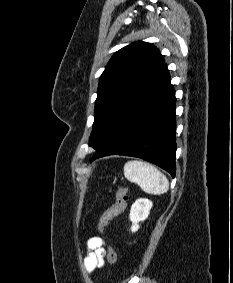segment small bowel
Returning a JSON list of instances; mask_svg holds the SVG:
<instances>
[{"mask_svg":"<svg viewBox=\"0 0 233 283\" xmlns=\"http://www.w3.org/2000/svg\"><path fill=\"white\" fill-rule=\"evenodd\" d=\"M87 255L84 258V267L88 273L104 266L106 251L104 241L98 236L90 238L87 242Z\"/></svg>","mask_w":233,"mask_h":283,"instance_id":"obj_1","label":"small bowel"}]
</instances>
